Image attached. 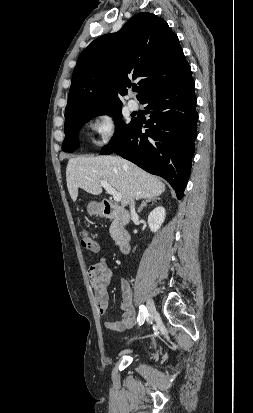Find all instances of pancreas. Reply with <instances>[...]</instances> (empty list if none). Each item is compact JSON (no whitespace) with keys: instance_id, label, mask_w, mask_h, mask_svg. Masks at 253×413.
Here are the masks:
<instances>
[{"instance_id":"obj_1","label":"pancreas","mask_w":253,"mask_h":413,"mask_svg":"<svg viewBox=\"0 0 253 413\" xmlns=\"http://www.w3.org/2000/svg\"><path fill=\"white\" fill-rule=\"evenodd\" d=\"M119 230V222L118 220H114L110 227V235L112 238H115Z\"/></svg>"}]
</instances>
